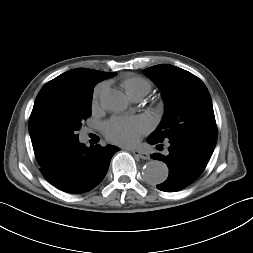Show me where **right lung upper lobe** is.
I'll return each mask as SVG.
<instances>
[{
  "label": "right lung upper lobe",
  "instance_id": "right-lung-upper-lobe-1",
  "mask_svg": "<svg viewBox=\"0 0 253 253\" xmlns=\"http://www.w3.org/2000/svg\"><path fill=\"white\" fill-rule=\"evenodd\" d=\"M116 73H109L103 71H97L87 68H77L65 72L53 80L46 83L40 90L34 105H37L39 101L47 94L54 91L61 90H74V91H87L93 90L94 86L107 78L115 76ZM30 132V130H29ZM30 137L35 153V157L40 165L41 169L46 168L54 158L63 151V149L54 147L47 142L41 140L30 132Z\"/></svg>",
  "mask_w": 253,
  "mask_h": 253
}]
</instances>
